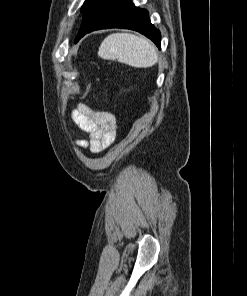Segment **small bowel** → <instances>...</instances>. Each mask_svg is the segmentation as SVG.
I'll use <instances>...</instances> for the list:
<instances>
[{"instance_id": "c3829d8e", "label": "small bowel", "mask_w": 247, "mask_h": 296, "mask_svg": "<svg viewBox=\"0 0 247 296\" xmlns=\"http://www.w3.org/2000/svg\"><path fill=\"white\" fill-rule=\"evenodd\" d=\"M71 117L74 123L89 134V139H74V144L83 149L98 153L108 147L116 136L115 117L104 111H95L83 103L77 104Z\"/></svg>"}]
</instances>
